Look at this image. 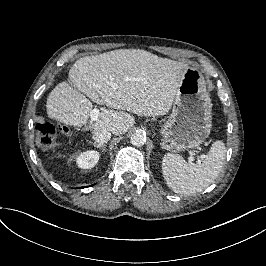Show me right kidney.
Instances as JSON below:
<instances>
[{"instance_id":"right-kidney-1","label":"right kidney","mask_w":266,"mask_h":266,"mask_svg":"<svg viewBox=\"0 0 266 266\" xmlns=\"http://www.w3.org/2000/svg\"><path fill=\"white\" fill-rule=\"evenodd\" d=\"M99 155L97 152L94 151H88L82 153L77 160V163L80 167H85V168H91L96 165L98 162Z\"/></svg>"}]
</instances>
